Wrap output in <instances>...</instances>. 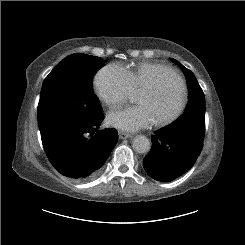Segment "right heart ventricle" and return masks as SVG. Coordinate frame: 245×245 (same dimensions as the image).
I'll return each mask as SVG.
<instances>
[{
  "mask_svg": "<svg viewBox=\"0 0 245 245\" xmlns=\"http://www.w3.org/2000/svg\"><path fill=\"white\" fill-rule=\"evenodd\" d=\"M169 69L162 64L141 63L134 69L127 70L134 92H141L144 88L155 84L161 72Z\"/></svg>",
  "mask_w": 245,
  "mask_h": 245,
  "instance_id": "e07e8e85",
  "label": "right heart ventricle"
}]
</instances>
